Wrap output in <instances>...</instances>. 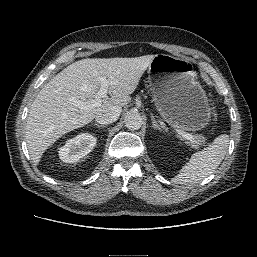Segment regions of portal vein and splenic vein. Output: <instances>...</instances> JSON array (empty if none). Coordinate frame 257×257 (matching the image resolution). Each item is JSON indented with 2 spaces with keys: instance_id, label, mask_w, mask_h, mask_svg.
Listing matches in <instances>:
<instances>
[{
  "instance_id": "portal-vein-and-splenic-vein-1",
  "label": "portal vein and splenic vein",
  "mask_w": 257,
  "mask_h": 257,
  "mask_svg": "<svg viewBox=\"0 0 257 257\" xmlns=\"http://www.w3.org/2000/svg\"><path fill=\"white\" fill-rule=\"evenodd\" d=\"M99 80H100V88L96 94L95 99L88 100V101H81V100H76L73 98L71 100L73 102V104L76 105L77 107H79L80 109H91V108L100 106L101 99L105 98L107 95L110 82L104 77H100ZM176 132L178 134H180L183 138H185L191 142H194V137L192 134L187 133L182 130H179V129H176Z\"/></svg>"
}]
</instances>
